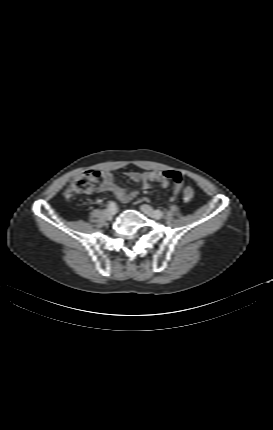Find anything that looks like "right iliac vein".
<instances>
[{"label":"right iliac vein","mask_w":273,"mask_h":430,"mask_svg":"<svg viewBox=\"0 0 273 430\" xmlns=\"http://www.w3.org/2000/svg\"><path fill=\"white\" fill-rule=\"evenodd\" d=\"M106 213H107L108 215H110V216H114V215L117 213V208H115V209H108V210L106 211Z\"/></svg>","instance_id":"1"}]
</instances>
